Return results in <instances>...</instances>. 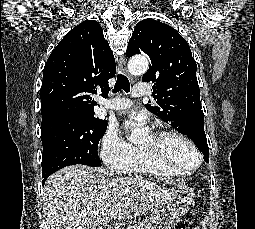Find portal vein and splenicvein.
I'll return each mask as SVG.
<instances>
[{"instance_id":"1","label":"portal vein and splenic vein","mask_w":255,"mask_h":229,"mask_svg":"<svg viewBox=\"0 0 255 229\" xmlns=\"http://www.w3.org/2000/svg\"><path fill=\"white\" fill-rule=\"evenodd\" d=\"M114 200H118V197H115Z\"/></svg>"}]
</instances>
